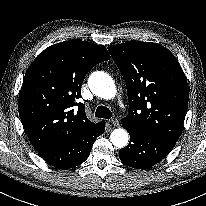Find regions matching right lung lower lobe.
Instances as JSON below:
<instances>
[{
  "label": "right lung lower lobe",
  "instance_id": "right-lung-lower-lobe-1",
  "mask_svg": "<svg viewBox=\"0 0 206 206\" xmlns=\"http://www.w3.org/2000/svg\"><path fill=\"white\" fill-rule=\"evenodd\" d=\"M105 131V124L98 125L78 139L54 148L39 152L49 164L59 169H69L82 164L89 156L95 139Z\"/></svg>",
  "mask_w": 206,
  "mask_h": 206
}]
</instances>
